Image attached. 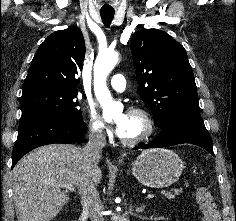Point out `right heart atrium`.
<instances>
[{
    "label": "right heart atrium",
    "mask_w": 236,
    "mask_h": 221,
    "mask_svg": "<svg viewBox=\"0 0 236 221\" xmlns=\"http://www.w3.org/2000/svg\"><path fill=\"white\" fill-rule=\"evenodd\" d=\"M87 128L90 136L98 141L111 137V130L93 107L87 109Z\"/></svg>",
    "instance_id": "obj_1"
}]
</instances>
